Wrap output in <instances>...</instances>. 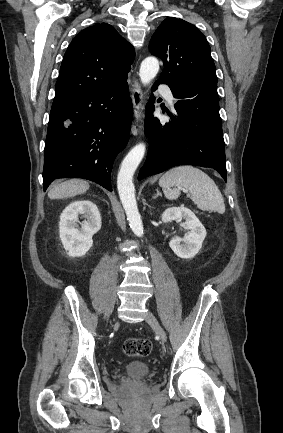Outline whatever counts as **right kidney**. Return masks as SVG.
<instances>
[{
	"instance_id": "ca27d5eb",
	"label": "right kidney",
	"mask_w": 283,
	"mask_h": 433,
	"mask_svg": "<svg viewBox=\"0 0 283 433\" xmlns=\"http://www.w3.org/2000/svg\"><path fill=\"white\" fill-rule=\"evenodd\" d=\"M79 216L85 218L78 228ZM101 228V216L97 206L88 200L70 203L61 213L59 234L65 251L70 257L85 255L93 245L92 236Z\"/></svg>"
}]
</instances>
